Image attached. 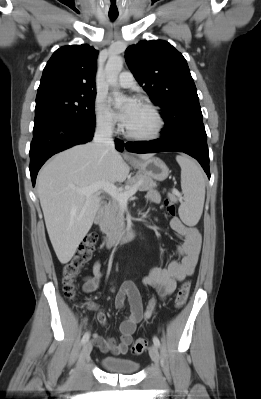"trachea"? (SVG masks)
<instances>
[{
    "mask_svg": "<svg viewBox=\"0 0 261 399\" xmlns=\"http://www.w3.org/2000/svg\"><path fill=\"white\" fill-rule=\"evenodd\" d=\"M111 4L113 5V4H115V2H111ZM117 16H118V15H116V14H109V18H110L111 20H115V19L117 18Z\"/></svg>",
    "mask_w": 261,
    "mask_h": 399,
    "instance_id": "3493384b",
    "label": "trachea"
}]
</instances>
